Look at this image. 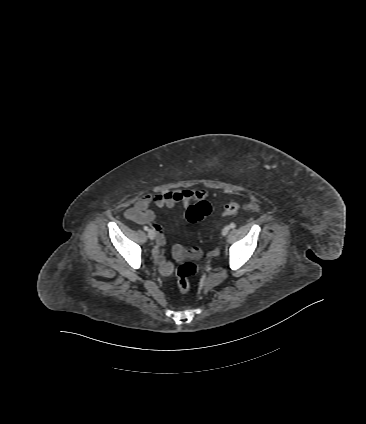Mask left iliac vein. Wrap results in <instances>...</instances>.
Wrapping results in <instances>:
<instances>
[{"instance_id": "obj_1", "label": "left iliac vein", "mask_w": 366, "mask_h": 424, "mask_svg": "<svg viewBox=\"0 0 366 424\" xmlns=\"http://www.w3.org/2000/svg\"><path fill=\"white\" fill-rule=\"evenodd\" d=\"M229 230H230V227L229 226H225L224 228H223V230H222V235H227L228 234V232H229Z\"/></svg>"}]
</instances>
